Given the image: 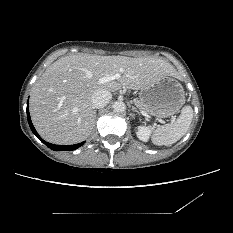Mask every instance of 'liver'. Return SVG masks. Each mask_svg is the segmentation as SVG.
<instances>
[{"mask_svg": "<svg viewBox=\"0 0 233 233\" xmlns=\"http://www.w3.org/2000/svg\"><path fill=\"white\" fill-rule=\"evenodd\" d=\"M115 74L120 76L117 81L98 82ZM168 76L178 73L162 59L71 54L52 63L36 81L29 102L31 118L45 140L75 144L93 130L96 112L91 97L96 91L142 90Z\"/></svg>", "mask_w": 233, "mask_h": 233, "instance_id": "obj_1", "label": "liver"}]
</instances>
